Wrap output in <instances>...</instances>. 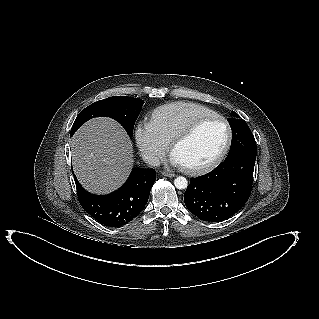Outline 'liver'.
<instances>
[{
	"instance_id": "obj_1",
	"label": "liver",
	"mask_w": 319,
	"mask_h": 319,
	"mask_svg": "<svg viewBox=\"0 0 319 319\" xmlns=\"http://www.w3.org/2000/svg\"><path fill=\"white\" fill-rule=\"evenodd\" d=\"M70 145L74 173L90 193L116 190L133 167V144L123 127L110 118L86 122L75 132Z\"/></svg>"
}]
</instances>
